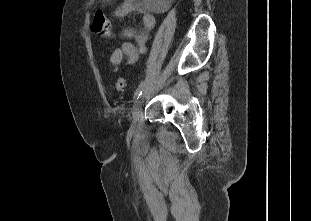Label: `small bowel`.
<instances>
[{"label":"small bowel","instance_id":"1","mask_svg":"<svg viewBox=\"0 0 311 221\" xmlns=\"http://www.w3.org/2000/svg\"><path fill=\"white\" fill-rule=\"evenodd\" d=\"M132 12H139L142 14L143 28L140 31L134 28H126L123 31V36L127 39L134 40L135 44L125 42L113 51L110 56V63L115 67L119 66L124 59H126L128 64H133L139 57L146 53L148 35L156 24L155 17L145 10L141 0H125L114 11V17L120 19Z\"/></svg>","mask_w":311,"mask_h":221}]
</instances>
